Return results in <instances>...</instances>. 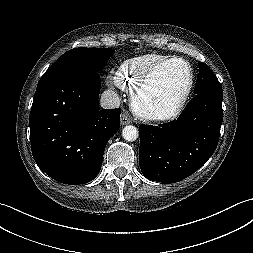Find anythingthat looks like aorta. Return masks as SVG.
I'll return each instance as SVG.
<instances>
[{
  "label": "aorta",
  "mask_w": 253,
  "mask_h": 253,
  "mask_svg": "<svg viewBox=\"0 0 253 253\" xmlns=\"http://www.w3.org/2000/svg\"><path fill=\"white\" fill-rule=\"evenodd\" d=\"M122 136L126 141H135L138 138V130L132 125L125 126L122 130Z\"/></svg>",
  "instance_id": "obj_1"
}]
</instances>
